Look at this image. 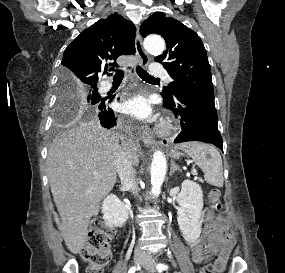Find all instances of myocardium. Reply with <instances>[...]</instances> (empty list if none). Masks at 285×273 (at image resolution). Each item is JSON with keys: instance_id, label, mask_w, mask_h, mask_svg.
<instances>
[{"instance_id": "myocardium-1", "label": "myocardium", "mask_w": 285, "mask_h": 273, "mask_svg": "<svg viewBox=\"0 0 285 273\" xmlns=\"http://www.w3.org/2000/svg\"><path fill=\"white\" fill-rule=\"evenodd\" d=\"M175 130V125L169 119L163 120L156 128L157 135L161 137L169 136Z\"/></svg>"}]
</instances>
